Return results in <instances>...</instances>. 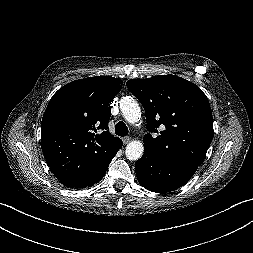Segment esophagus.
I'll return each instance as SVG.
<instances>
[{
  "label": "esophagus",
  "instance_id": "1",
  "mask_svg": "<svg viewBox=\"0 0 253 253\" xmlns=\"http://www.w3.org/2000/svg\"><path fill=\"white\" fill-rule=\"evenodd\" d=\"M122 140H123V143L126 145L131 141V137H124Z\"/></svg>",
  "mask_w": 253,
  "mask_h": 253
}]
</instances>
